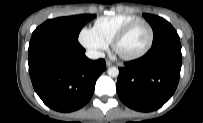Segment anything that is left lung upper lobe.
Wrapping results in <instances>:
<instances>
[{"instance_id":"5c2ea615","label":"left lung upper lobe","mask_w":203,"mask_h":123,"mask_svg":"<svg viewBox=\"0 0 203 123\" xmlns=\"http://www.w3.org/2000/svg\"><path fill=\"white\" fill-rule=\"evenodd\" d=\"M143 16L153 29L154 36L152 46L170 37L178 36L176 30L165 19L151 14H143Z\"/></svg>"}]
</instances>
